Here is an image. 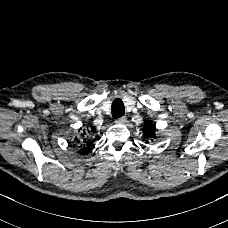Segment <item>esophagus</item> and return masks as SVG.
I'll list each match as a JSON object with an SVG mask.
<instances>
[{"instance_id":"34e87169","label":"esophagus","mask_w":228,"mask_h":228,"mask_svg":"<svg viewBox=\"0 0 228 228\" xmlns=\"http://www.w3.org/2000/svg\"><path fill=\"white\" fill-rule=\"evenodd\" d=\"M127 121L126 116L119 117L115 120L116 123H125Z\"/></svg>"}]
</instances>
